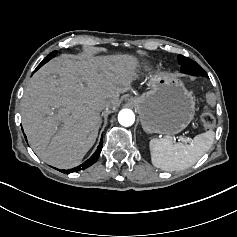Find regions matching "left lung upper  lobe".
<instances>
[{
	"label": "left lung upper lobe",
	"instance_id": "left-lung-upper-lobe-1",
	"mask_svg": "<svg viewBox=\"0 0 237 237\" xmlns=\"http://www.w3.org/2000/svg\"><path fill=\"white\" fill-rule=\"evenodd\" d=\"M178 62L181 65L182 73L209 78L204 69L192 59L178 55Z\"/></svg>",
	"mask_w": 237,
	"mask_h": 237
}]
</instances>
